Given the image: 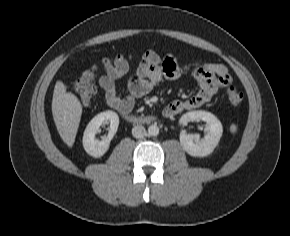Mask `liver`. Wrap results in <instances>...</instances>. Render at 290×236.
<instances>
[{
	"label": "liver",
	"mask_w": 290,
	"mask_h": 236,
	"mask_svg": "<svg viewBox=\"0 0 290 236\" xmlns=\"http://www.w3.org/2000/svg\"><path fill=\"white\" fill-rule=\"evenodd\" d=\"M82 105L78 98L66 92L65 84L58 80L54 87L52 115L58 133L68 147H72L79 127Z\"/></svg>",
	"instance_id": "1"
}]
</instances>
